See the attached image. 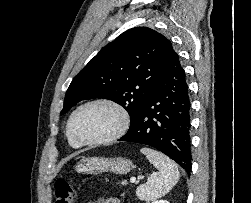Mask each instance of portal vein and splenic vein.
<instances>
[{"mask_svg": "<svg viewBox=\"0 0 251 203\" xmlns=\"http://www.w3.org/2000/svg\"><path fill=\"white\" fill-rule=\"evenodd\" d=\"M130 181H131L132 183H135V182H136V178H131Z\"/></svg>", "mask_w": 251, "mask_h": 203, "instance_id": "obj_1", "label": "portal vein and splenic vein"}]
</instances>
